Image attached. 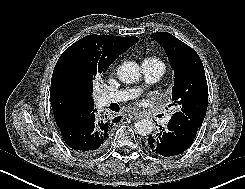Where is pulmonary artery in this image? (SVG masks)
Here are the masks:
<instances>
[{
    "label": "pulmonary artery",
    "mask_w": 245,
    "mask_h": 189,
    "mask_svg": "<svg viewBox=\"0 0 245 189\" xmlns=\"http://www.w3.org/2000/svg\"><path fill=\"white\" fill-rule=\"evenodd\" d=\"M141 68L147 84L158 81L165 71L164 64L161 61L144 60L141 64ZM138 93L139 89L136 88L103 93L100 98L101 105L105 107L113 102L131 100L138 96Z\"/></svg>",
    "instance_id": "obj_1"
}]
</instances>
